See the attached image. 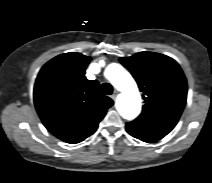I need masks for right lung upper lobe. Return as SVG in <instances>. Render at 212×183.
<instances>
[{
    "mask_svg": "<svg viewBox=\"0 0 212 183\" xmlns=\"http://www.w3.org/2000/svg\"><path fill=\"white\" fill-rule=\"evenodd\" d=\"M80 53L61 54L40 70L34 86V103L45 127L71 144L93 134L112 99L104 96L96 80H88L90 61Z\"/></svg>",
    "mask_w": 212,
    "mask_h": 183,
    "instance_id": "right-lung-upper-lobe-1",
    "label": "right lung upper lobe"
}]
</instances>
